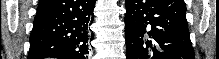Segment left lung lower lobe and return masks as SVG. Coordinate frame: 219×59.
I'll return each mask as SVG.
<instances>
[{
	"mask_svg": "<svg viewBox=\"0 0 219 59\" xmlns=\"http://www.w3.org/2000/svg\"><path fill=\"white\" fill-rule=\"evenodd\" d=\"M127 59H194L184 0H125Z\"/></svg>",
	"mask_w": 219,
	"mask_h": 59,
	"instance_id": "left-lung-lower-lobe-1",
	"label": "left lung lower lobe"
}]
</instances>
